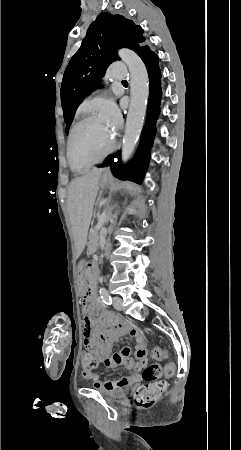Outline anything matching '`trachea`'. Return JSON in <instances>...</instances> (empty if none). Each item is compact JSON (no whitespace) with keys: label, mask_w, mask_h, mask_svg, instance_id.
I'll list each match as a JSON object with an SVG mask.
<instances>
[{"label":"trachea","mask_w":241,"mask_h":450,"mask_svg":"<svg viewBox=\"0 0 241 450\" xmlns=\"http://www.w3.org/2000/svg\"><path fill=\"white\" fill-rule=\"evenodd\" d=\"M122 82H126V80H122Z\"/></svg>","instance_id":"1"}]
</instances>
